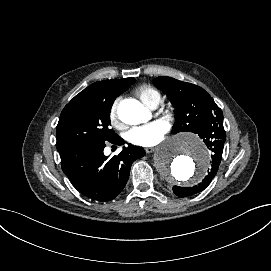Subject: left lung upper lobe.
<instances>
[{"mask_svg":"<svg viewBox=\"0 0 271 271\" xmlns=\"http://www.w3.org/2000/svg\"><path fill=\"white\" fill-rule=\"evenodd\" d=\"M154 84L163 90L176 108V121L172 133L193 132L201 134L223 120L222 110L201 87L160 76Z\"/></svg>","mask_w":271,"mask_h":271,"instance_id":"1","label":"left lung upper lobe"}]
</instances>
